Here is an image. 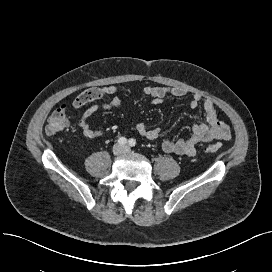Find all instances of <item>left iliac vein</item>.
<instances>
[{"label":"left iliac vein","mask_w":272,"mask_h":272,"mask_svg":"<svg viewBox=\"0 0 272 272\" xmlns=\"http://www.w3.org/2000/svg\"><path fill=\"white\" fill-rule=\"evenodd\" d=\"M123 151L127 153V152H129V148L128 147H123Z\"/></svg>","instance_id":"4c4485c4"}]
</instances>
